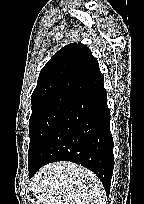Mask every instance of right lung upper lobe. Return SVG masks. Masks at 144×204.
<instances>
[{
    "label": "right lung upper lobe",
    "instance_id": "obj_1",
    "mask_svg": "<svg viewBox=\"0 0 144 204\" xmlns=\"http://www.w3.org/2000/svg\"><path fill=\"white\" fill-rule=\"evenodd\" d=\"M103 83L97 59L84 44H69L43 67L31 96L37 104L58 95H77Z\"/></svg>",
    "mask_w": 144,
    "mask_h": 204
}]
</instances>
